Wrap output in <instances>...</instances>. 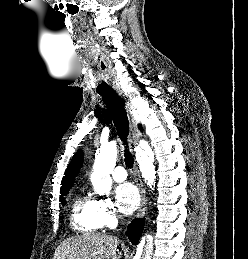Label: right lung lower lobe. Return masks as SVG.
<instances>
[{
	"label": "right lung lower lobe",
	"instance_id": "98d812e1",
	"mask_svg": "<svg viewBox=\"0 0 248 259\" xmlns=\"http://www.w3.org/2000/svg\"><path fill=\"white\" fill-rule=\"evenodd\" d=\"M143 228H144V220L143 219H135L129 224L126 234L129 238V240L133 244L138 243V240L141 236Z\"/></svg>",
	"mask_w": 248,
	"mask_h": 259
}]
</instances>
